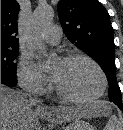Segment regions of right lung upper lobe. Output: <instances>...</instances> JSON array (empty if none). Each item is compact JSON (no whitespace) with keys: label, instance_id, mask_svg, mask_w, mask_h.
<instances>
[{"label":"right lung upper lobe","instance_id":"right-lung-upper-lobe-1","mask_svg":"<svg viewBox=\"0 0 123 130\" xmlns=\"http://www.w3.org/2000/svg\"><path fill=\"white\" fill-rule=\"evenodd\" d=\"M20 6L15 0H1V47L19 48L17 16Z\"/></svg>","mask_w":123,"mask_h":130}]
</instances>
